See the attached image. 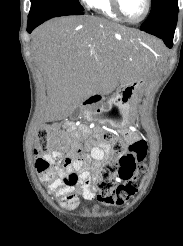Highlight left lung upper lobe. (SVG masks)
<instances>
[{"label":"left lung upper lobe","mask_w":183,"mask_h":246,"mask_svg":"<svg viewBox=\"0 0 183 246\" xmlns=\"http://www.w3.org/2000/svg\"><path fill=\"white\" fill-rule=\"evenodd\" d=\"M151 12L141 27L159 24L178 13V0H151Z\"/></svg>","instance_id":"obj_1"}]
</instances>
